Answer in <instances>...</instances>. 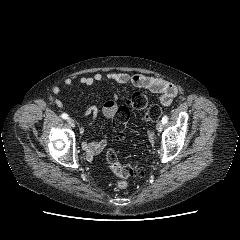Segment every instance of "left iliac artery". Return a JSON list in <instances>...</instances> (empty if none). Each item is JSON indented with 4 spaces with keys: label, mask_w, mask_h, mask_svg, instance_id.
Listing matches in <instances>:
<instances>
[{
    "label": "left iliac artery",
    "mask_w": 240,
    "mask_h": 240,
    "mask_svg": "<svg viewBox=\"0 0 240 240\" xmlns=\"http://www.w3.org/2000/svg\"><path fill=\"white\" fill-rule=\"evenodd\" d=\"M168 122V117L166 116V115H164L163 117H162V123L163 124H166Z\"/></svg>",
    "instance_id": "1"
}]
</instances>
